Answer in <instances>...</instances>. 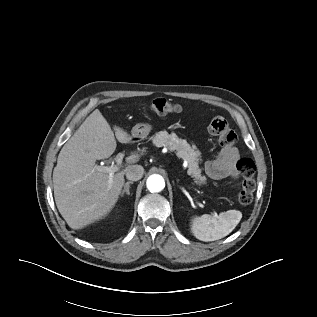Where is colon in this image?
Masks as SVG:
<instances>
[{
    "instance_id": "1",
    "label": "colon",
    "mask_w": 317,
    "mask_h": 317,
    "mask_svg": "<svg viewBox=\"0 0 317 317\" xmlns=\"http://www.w3.org/2000/svg\"><path fill=\"white\" fill-rule=\"evenodd\" d=\"M150 110L157 115H166L179 112L180 106L164 98H157L151 102ZM208 129L210 133L217 136L219 143L224 147H232L237 142L236 133L229 127L226 119L221 116L213 117ZM236 168L242 177V187L238 193V202L241 205L250 204L256 189L255 164L252 159L244 157L237 161Z\"/></svg>"
}]
</instances>
